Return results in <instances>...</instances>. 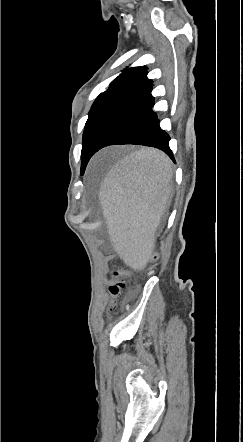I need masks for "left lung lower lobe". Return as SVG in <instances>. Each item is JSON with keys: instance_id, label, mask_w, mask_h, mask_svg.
<instances>
[{"instance_id": "0a47b994", "label": "left lung lower lobe", "mask_w": 243, "mask_h": 442, "mask_svg": "<svg viewBox=\"0 0 243 442\" xmlns=\"http://www.w3.org/2000/svg\"><path fill=\"white\" fill-rule=\"evenodd\" d=\"M152 86V80L147 78L109 110L84 150L83 159L86 163L98 150L121 144L155 147L175 162L168 145L170 136L160 128L157 114L152 110Z\"/></svg>"}]
</instances>
